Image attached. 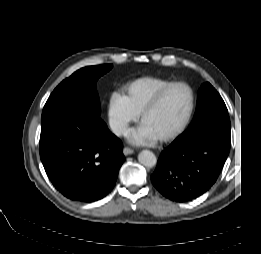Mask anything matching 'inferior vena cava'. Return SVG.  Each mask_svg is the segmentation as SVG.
Returning <instances> with one entry per match:
<instances>
[{"label":"inferior vena cava","instance_id":"1","mask_svg":"<svg viewBox=\"0 0 261 254\" xmlns=\"http://www.w3.org/2000/svg\"><path fill=\"white\" fill-rule=\"evenodd\" d=\"M109 124L113 133L117 136H121L127 131V124L119 119L110 118Z\"/></svg>","mask_w":261,"mask_h":254}]
</instances>
